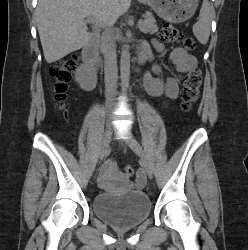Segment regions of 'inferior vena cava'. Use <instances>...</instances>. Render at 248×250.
Wrapping results in <instances>:
<instances>
[{
    "mask_svg": "<svg viewBox=\"0 0 248 250\" xmlns=\"http://www.w3.org/2000/svg\"><path fill=\"white\" fill-rule=\"evenodd\" d=\"M114 21L110 22L112 25ZM104 71H105V91L108 113L110 114L114 107V94L117 88V58L116 45L114 38L109 37L104 46Z\"/></svg>",
    "mask_w": 248,
    "mask_h": 250,
    "instance_id": "602c4592",
    "label": "inferior vena cava"
}]
</instances>
